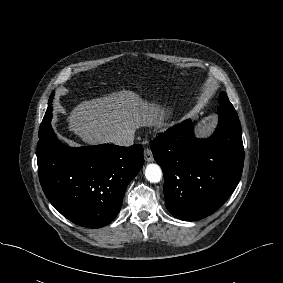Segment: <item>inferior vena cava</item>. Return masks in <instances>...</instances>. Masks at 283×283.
I'll return each instance as SVG.
<instances>
[{
	"mask_svg": "<svg viewBox=\"0 0 283 283\" xmlns=\"http://www.w3.org/2000/svg\"><path fill=\"white\" fill-rule=\"evenodd\" d=\"M110 142L120 146H131L134 143V133L125 131L111 137Z\"/></svg>",
	"mask_w": 283,
	"mask_h": 283,
	"instance_id": "inferior-vena-cava-1",
	"label": "inferior vena cava"
}]
</instances>
